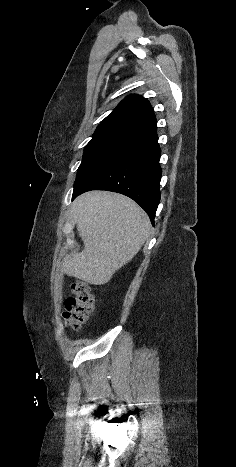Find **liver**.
Masks as SVG:
<instances>
[{"label":"liver","instance_id":"liver-1","mask_svg":"<svg viewBox=\"0 0 236 467\" xmlns=\"http://www.w3.org/2000/svg\"><path fill=\"white\" fill-rule=\"evenodd\" d=\"M72 210L84 249L64 259L63 272L92 285L108 283L150 234L147 214L121 194L87 192L73 202Z\"/></svg>","mask_w":236,"mask_h":467}]
</instances>
